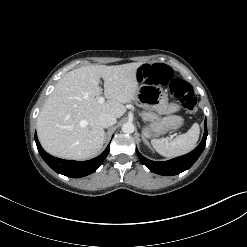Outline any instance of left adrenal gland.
I'll use <instances>...</instances> for the list:
<instances>
[{"mask_svg": "<svg viewBox=\"0 0 247 247\" xmlns=\"http://www.w3.org/2000/svg\"><path fill=\"white\" fill-rule=\"evenodd\" d=\"M142 139H143V142L149 147V148H151L150 147V144H149V142H148V140L146 139V137L142 134Z\"/></svg>", "mask_w": 247, "mask_h": 247, "instance_id": "obj_1", "label": "left adrenal gland"}]
</instances>
